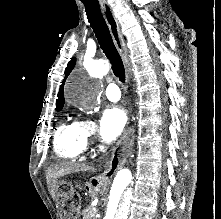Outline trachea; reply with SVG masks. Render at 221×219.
<instances>
[{
	"mask_svg": "<svg viewBox=\"0 0 221 219\" xmlns=\"http://www.w3.org/2000/svg\"><path fill=\"white\" fill-rule=\"evenodd\" d=\"M88 21L96 35L101 49L109 59L114 75L121 81L125 80V68L122 59L114 45L106 21L102 15L99 3H83Z\"/></svg>",
	"mask_w": 221,
	"mask_h": 219,
	"instance_id": "3493384b",
	"label": "trachea"
}]
</instances>
